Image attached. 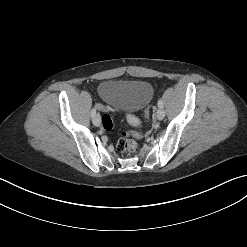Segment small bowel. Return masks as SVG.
I'll return each mask as SVG.
<instances>
[{"mask_svg":"<svg viewBox=\"0 0 247 247\" xmlns=\"http://www.w3.org/2000/svg\"><path fill=\"white\" fill-rule=\"evenodd\" d=\"M100 109H101V110H105V108H104L103 106H100Z\"/></svg>","mask_w":247,"mask_h":247,"instance_id":"small-bowel-1","label":"small bowel"}]
</instances>
